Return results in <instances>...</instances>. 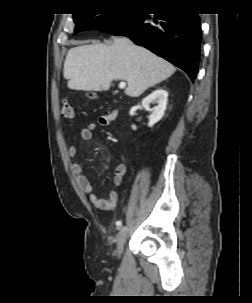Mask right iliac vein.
<instances>
[{
	"label": "right iliac vein",
	"instance_id": "obj_1",
	"mask_svg": "<svg viewBox=\"0 0 252 303\" xmlns=\"http://www.w3.org/2000/svg\"><path fill=\"white\" fill-rule=\"evenodd\" d=\"M128 235V228L127 226L121 227L118 237H117V256L120 257L122 251H123V246L126 242Z\"/></svg>",
	"mask_w": 252,
	"mask_h": 303
}]
</instances>
